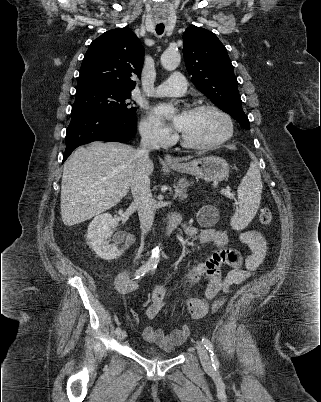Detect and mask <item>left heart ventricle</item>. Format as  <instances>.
Masks as SVG:
<instances>
[{
  "label": "left heart ventricle",
  "instance_id": "b2bd125f",
  "mask_svg": "<svg viewBox=\"0 0 321 402\" xmlns=\"http://www.w3.org/2000/svg\"><path fill=\"white\" fill-rule=\"evenodd\" d=\"M227 129L224 118L213 110L188 112L181 132L192 142L210 143L222 137Z\"/></svg>",
  "mask_w": 321,
  "mask_h": 402
}]
</instances>
